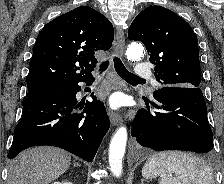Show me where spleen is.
<instances>
[{"instance_id":"1","label":"spleen","mask_w":224,"mask_h":184,"mask_svg":"<svg viewBox=\"0 0 224 184\" xmlns=\"http://www.w3.org/2000/svg\"><path fill=\"white\" fill-rule=\"evenodd\" d=\"M142 175L146 179L159 176V184H214L212 169L201 158L179 151L153 155Z\"/></svg>"}]
</instances>
